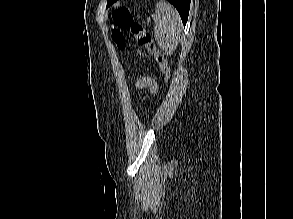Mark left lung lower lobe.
Returning a JSON list of instances; mask_svg holds the SVG:
<instances>
[{
	"label": "left lung lower lobe",
	"mask_w": 293,
	"mask_h": 219,
	"mask_svg": "<svg viewBox=\"0 0 293 219\" xmlns=\"http://www.w3.org/2000/svg\"><path fill=\"white\" fill-rule=\"evenodd\" d=\"M117 1V0H116ZM178 10L182 22L185 25L188 19L189 7L191 0H168Z\"/></svg>",
	"instance_id": "left-lung-lower-lobe-1"
}]
</instances>
